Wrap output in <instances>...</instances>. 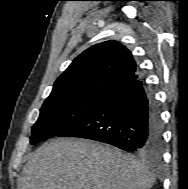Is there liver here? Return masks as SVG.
<instances>
[{
    "instance_id": "liver-1",
    "label": "liver",
    "mask_w": 188,
    "mask_h": 189,
    "mask_svg": "<svg viewBox=\"0 0 188 189\" xmlns=\"http://www.w3.org/2000/svg\"><path fill=\"white\" fill-rule=\"evenodd\" d=\"M154 182L142 163L117 148L57 138L29 157L19 189H149Z\"/></svg>"
}]
</instances>
